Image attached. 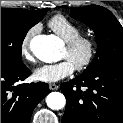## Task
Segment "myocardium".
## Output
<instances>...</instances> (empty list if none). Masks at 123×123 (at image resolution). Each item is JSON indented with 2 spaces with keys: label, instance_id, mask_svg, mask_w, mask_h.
<instances>
[{
  "label": "myocardium",
  "instance_id": "myocardium-1",
  "mask_svg": "<svg viewBox=\"0 0 123 123\" xmlns=\"http://www.w3.org/2000/svg\"><path fill=\"white\" fill-rule=\"evenodd\" d=\"M81 47L86 49V55L80 62L75 64L74 67L77 71H83L91 66L97 55V42L92 36L80 34L66 41L65 44V48L69 53H74Z\"/></svg>",
  "mask_w": 123,
  "mask_h": 123
}]
</instances>
